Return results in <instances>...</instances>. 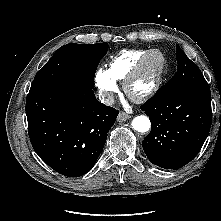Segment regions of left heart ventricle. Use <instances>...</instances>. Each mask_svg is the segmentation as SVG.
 I'll return each instance as SVG.
<instances>
[{"label": "left heart ventricle", "mask_w": 221, "mask_h": 221, "mask_svg": "<svg viewBox=\"0 0 221 221\" xmlns=\"http://www.w3.org/2000/svg\"><path fill=\"white\" fill-rule=\"evenodd\" d=\"M158 64L159 57L157 55L150 58L143 71L139 74L131 86L133 93H141L149 88L155 79Z\"/></svg>", "instance_id": "b2bd125f"}]
</instances>
